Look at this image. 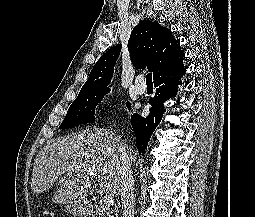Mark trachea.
<instances>
[{
	"mask_svg": "<svg viewBox=\"0 0 255 217\" xmlns=\"http://www.w3.org/2000/svg\"><path fill=\"white\" fill-rule=\"evenodd\" d=\"M146 83H147V85H153L152 73H148V74L146 75Z\"/></svg>",
	"mask_w": 255,
	"mask_h": 217,
	"instance_id": "obj_1",
	"label": "trachea"
}]
</instances>
